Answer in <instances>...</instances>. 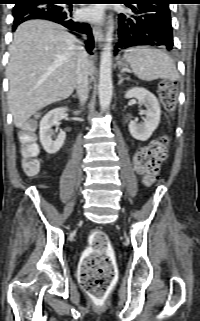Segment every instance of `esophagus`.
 <instances>
[{"label": "esophagus", "instance_id": "esophagus-1", "mask_svg": "<svg viewBox=\"0 0 200 321\" xmlns=\"http://www.w3.org/2000/svg\"><path fill=\"white\" fill-rule=\"evenodd\" d=\"M93 35L95 37V41L98 43L99 47L103 46L104 43V32L101 26L95 25L93 26Z\"/></svg>", "mask_w": 200, "mask_h": 321}]
</instances>
